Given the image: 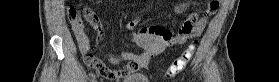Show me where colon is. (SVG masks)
I'll return each mask as SVG.
<instances>
[{
	"instance_id": "1",
	"label": "colon",
	"mask_w": 279,
	"mask_h": 82,
	"mask_svg": "<svg viewBox=\"0 0 279 82\" xmlns=\"http://www.w3.org/2000/svg\"><path fill=\"white\" fill-rule=\"evenodd\" d=\"M79 2V1H77ZM219 1H210L209 4H217ZM83 15L85 19L93 26L97 27L100 26V20L97 17V15L90 9V8H83L78 9L75 7H70L67 12V17L70 23H76L79 22L80 16ZM196 43L193 39L192 44L187 46L183 52L177 56L173 63L168 67L167 69V75L168 76H174L181 71H183L188 63L190 62L192 55L195 51ZM102 66V65H101Z\"/></svg>"
}]
</instances>
